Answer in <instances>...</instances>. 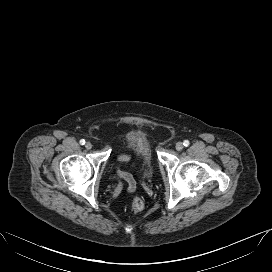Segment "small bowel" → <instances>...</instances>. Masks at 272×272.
<instances>
[{"instance_id":"small-bowel-1","label":"small bowel","mask_w":272,"mask_h":272,"mask_svg":"<svg viewBox=\"0 0 272 272\" xmlns=\"http://www.w3.org/2000/svg\"><path fill=\"white\" fill-rule=\"evenodd\" d=\"M130 158H131V156L127 155V154L119 156V160L121 162H127L130 160ZM117 174L128 183L129 190H131L134 187V180L128 173L118 169Z\"/></svg>"}]
</instances>
